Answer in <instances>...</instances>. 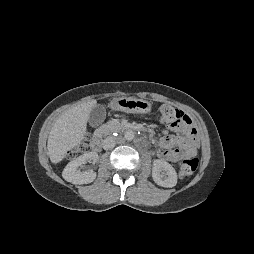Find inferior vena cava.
Segmentation results:
<instances>
[{
  "mask_svg": "<svg viewBox=\"0 0 254 254\" xmlns=\"http://www.w3.org/2000/svg\"><path fill=\"white\" fill-rule=\"evenodd\" d=\"M103 149L110 150L115 147V138L114 137H107L102 141Z\"/></svg>",
  "mask_w": 254,
  "mask_h": 254,
  "instance_id": "obj_1",
  "label": "inferior vena cava"
}]
</instances>
